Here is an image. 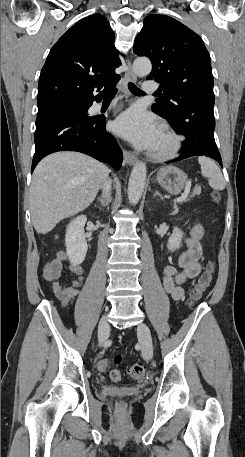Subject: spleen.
<instances>
[{"label":"spleen","instance_id":"3e777b00","mask_svg":"<svg viewBox=\"0 0 245 457\" xmlns=\"http://www.w3.org/2000/svg\"><path fill=\"white\" fill-rule=\"evenodd\" d=\"M198 162L201 164L203 176H208L210 186L216 188V190H223V188H225L224 176L213 158L198 156Z\"/></svg>","mask_w":245,"mask_h":457}]
</instances>
